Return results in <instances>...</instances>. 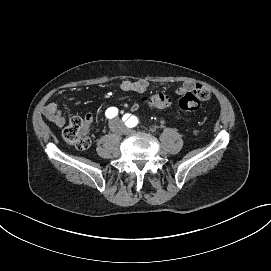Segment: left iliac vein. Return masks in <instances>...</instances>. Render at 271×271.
<instances>
[{
	"mask_svg": "<svg viewBox=\"0 0 271 271\" xmlns=\"http://www.w3.org/2000/svg\"><path fill=\"white\" fill-rule=\"evenodd\" d=\"M129 131L132 132V133L134 132L133 130H129Z\"/></svg>",
	"mask_w": 271,
	"mask_h": 271,
	"instance_id": "1",
	"label": "left iliac vein"
}]
</instances>
